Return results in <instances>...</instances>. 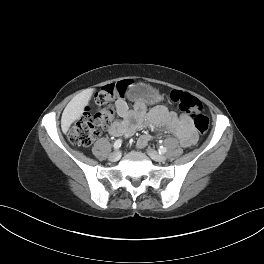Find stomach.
<instances>
[{
    "label": "stomach",
    "instance_id": "stomach-1",
    "mask_svg": "<svg viewBox=\"0 0 264 264\" xmlns=\"http://www.w3.org/2000/svg\"><path fill=\"white\" fill-rule=\"evenodd\" d=\"M130 97L134 100L144 101L147 104H153L162 99L158 90L143 83H139L133 87Z\"/></svg>",
    "mask_w": 264,
    "mask_h": 264
}]
</instances>
